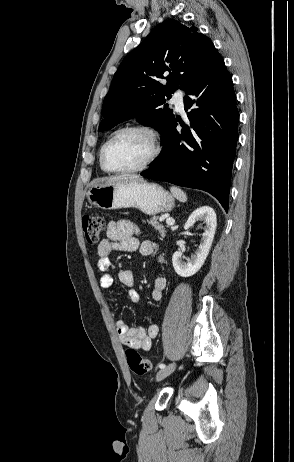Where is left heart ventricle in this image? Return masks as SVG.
Here are the masks:
<instances>
[{
  "label": "left heart ventricle",
  "mask_w": 294,
  "mask_h": 462,
  "mask_svg": "<svg viewBox=\"0 0 294 462\" xmlns=\"http://www.w3.org/2000/svg\"><path fill=\"white\" fill-rule=\"evenodd\" d=\"M152 151L149 138L136 131L118 136L106 150V165L111 169H126L143 163Z\"/></svg>",
  "instance_id": "left-heart-ventricle-1"
}]
</instances>
